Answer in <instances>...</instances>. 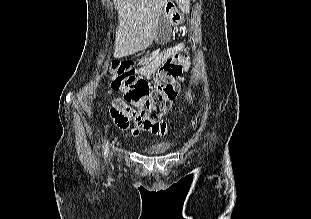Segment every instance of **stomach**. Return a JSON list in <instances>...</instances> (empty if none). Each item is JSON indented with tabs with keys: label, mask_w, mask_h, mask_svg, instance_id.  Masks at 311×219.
I'll use <instances>...</instances> for the list:
<instances>
[{
	"label": "stomach",
	"mask_w": 311,
	"mask_h": 219,
	"mask_svg": "<svg viewBox=\"0 0 311 219\" xmlns=\"http://www.w3.org/2000/svg\"><path fill=\"white\" fill-rule=\"evenodd\" d=\"M171 24H179L182 21V15L175 12L172 14H163Z\"/></svg>",
	"instance_id": "0dacf381"
}]
</instances>
